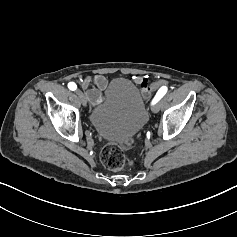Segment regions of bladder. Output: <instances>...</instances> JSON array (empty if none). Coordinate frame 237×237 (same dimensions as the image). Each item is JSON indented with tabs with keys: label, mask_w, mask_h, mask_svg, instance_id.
Instances as JSON below:
<instances>
[{
	"label": "bladder",
	"mask_w": 237,
	"mask_h": 237,
	"mask_svg": "<svg viewBox=\"0 0 237 237\" xmlns=\"http://www.w3.org/2000/svg\"><path fill=\"white\" fill-rule=\"evenodd\" d=\"M145 100L139 88L125 78L115 79L105 100L90 114L97 134L111 142H123L136 134L147 121Z\"/></svg>",
	"instance_id": "1"
}]
</instances>
